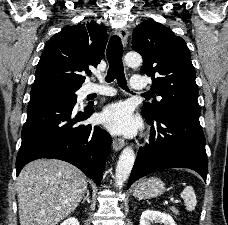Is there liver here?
Wrapping results in <instances>:
<instances>
[{
	"mask_svg": "<svg viewBox=\"0 0 228 225\" xmlns=\"http://www.w3.org/2000/svg\"><path fill=\"white\" fill-rule=\"evenodd\" d=\"M87 183L69 163L54 159L29 163L17 183L20 225H58L85 197Z\"/></svg>",
	"mask_w": 228,
	"mask_h": 225,
	"instance_id": "obj_1",
	"label": "liver"
}]
</instances>
